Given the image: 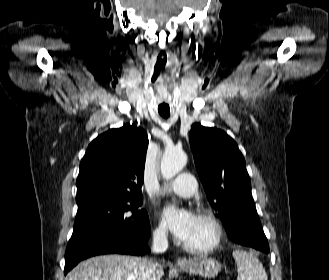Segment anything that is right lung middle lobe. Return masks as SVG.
Listing matches in <instances>:
<instances>
[{
	"instance_id": "obj_1",
	"label": "right lung middle lobe",
	"mask_w": 329,
	"mask_h": 280,
	"mask_svg": "<svg viewBox=\"0 0 329 280\" xmlns=\"http://www.w3.org/2000/svg\"><path fill=\"white\" fill-rule=\"evenodd\" d=\"M78 210L72 238L93 229H111L128 236H137L149 227L148 214L141 206V197L89 196L77 198Z\"/></svg>"
}]
</instances>
